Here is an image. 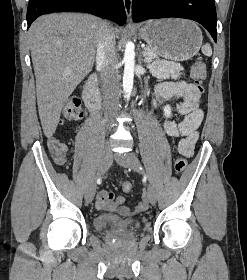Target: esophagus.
I'll use <instances>...</instances> for the list:
<instances>
[{
    "instance_id": "1",
    "label": "esophagus",
    "mask_w": 247,
    "mask_h": 280,
    "mask_svg": "<svg viewBox=\"0 0 247 280\" xmlns=\"http://www.w3.org/2000/svg\"><path fill=\"white\" fill-rule=\"evenodd\" d=\"M126 16L129 19L131 17L132 0H123Z\"/></svg>"
}]
</instances>
